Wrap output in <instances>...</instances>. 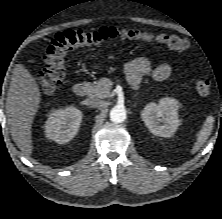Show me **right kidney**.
Returning <instances> with one entry per match:
<instances>
[{
	"label": "right kidney",
	"instance_id": "right-kidney-1",
	"mask_svg": "<svg viewBox=\"0 0 222 219\" xmlns=\"http://www.w3.org/2000/svg\"><path fill=\"white\" fill-rule=\"evenodd\" d=\"M82 112L75 107L53 110L45 123V135L58 144L69 142L77 134Z\"/></svg>",
	"mask_w": 222,
	"mask_h": 219
}]
</instances>
